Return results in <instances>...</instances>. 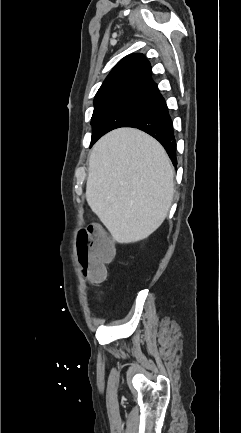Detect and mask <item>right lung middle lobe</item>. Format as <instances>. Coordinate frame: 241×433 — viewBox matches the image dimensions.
Wrapping results in <instances>:
<instances>
[{"mask_svg":"<svg viewBox=\"0 0 241 433\" xmlns=\"http://www.w3.org/2000/svg\"><path fill=\"white\" fill-rule=\"evenodd\" d=\"M152 98L153 95H119L95 101L91 119V144L105 133L123 127L138 115Z\"/></svg>","mask_w":241,"mask_h":433,"instance_id":"dd1d6c3e","label":"right lung middle lobe"}]
</instances>
